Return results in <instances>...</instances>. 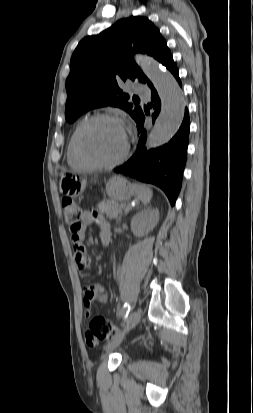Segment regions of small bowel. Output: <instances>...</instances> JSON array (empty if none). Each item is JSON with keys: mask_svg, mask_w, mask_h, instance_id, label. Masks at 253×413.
Listing matches in <instances>:
<instances>
[{"mask_svg": "<svg viewBox=\"0 0 253 413\" xmlns=\"http://www.w3.org/2000/svg\"><path fill=\"white\" fill-rule=\"evenodd\" d=\"M95 225L100 231L101 237H109V223L105 216L98 210H85L81 214V221L77 228H71V240L74 246V262L78 270H85L90 266L91 260L85 252L83 239L88 226ZM83 303L88 308L93 300L101 303L108 301L107 290L103 286L91 284L83 290ZM87 344L91 347L97 345V341L90 342L86 339Z\"/></svg>", "mask_w": 253, "mask_h": 413, "instance_id": "1", "label": "small bowel"}]
</instances>
